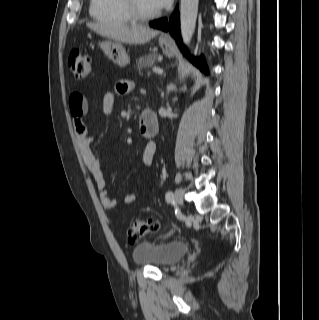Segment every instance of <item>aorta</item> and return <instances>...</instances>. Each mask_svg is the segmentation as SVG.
Wrapping results in <instances>:
<instances>
[{
  "instance_id": "aorta-1",
  "label": "aorta",
  "mask_w": 319,
  "mask_h": 320,
  "mask_svg": "<svg viewBox=\"0 0 319 320\" xmlns=\"http://www.w3.org/2000/svg\"><path fill=\"white\" fill-rule=\"evenodd\" d=\"M199 0H181L180 29L185 44H189L195 31Z\"/></svg>"
}]
</instances>
